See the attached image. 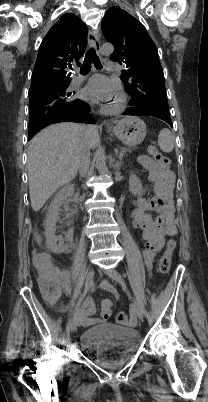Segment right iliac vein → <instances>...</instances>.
Returning a JSON list of instances; mask_svg holds the SVG:
<instances>
[{
  "instance_id": "obj_1",
  "label": "right iliac vein",
  "mask_w": 208,
  "mask_h": 402,
  "mask_svg": "<svg viewBox=\"0 0 208 402\" xmlns=\"http://www.w3.org/2000/svg\"><path fill=\"white\" fill-rule=\"evenodd\" d=\"M94 269L93 267L89 266L88 272H87V277H86V283L85 287L90 288L93 285V279H94ZM79 322V312H77L76 316L73 319V322L71 324V332H74L77 328Z\"/></svg>"
}]
</instances>
